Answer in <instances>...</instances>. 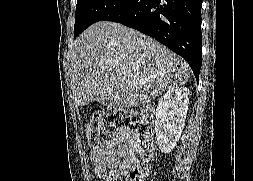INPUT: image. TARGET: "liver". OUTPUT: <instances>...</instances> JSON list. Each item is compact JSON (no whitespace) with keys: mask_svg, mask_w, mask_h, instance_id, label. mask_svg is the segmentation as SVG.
Masks as SVG:
<instances>
[{"mask_svg":"<svg viewBox=\"0 0 253 181\" xmlns=\"http://www.w3.org/2000/svg\"><path fill=\"white\" fill-rule=\"evenodd\" d=\"M189 77L182 58L119 23L97 22L74 42L70 78L79 106L97 102L119 110L139 107L184 85Z\"/></svg>","mask_w":253,"mask_h":181,"instance_id":"1","label":"liver"}]
</instances>
